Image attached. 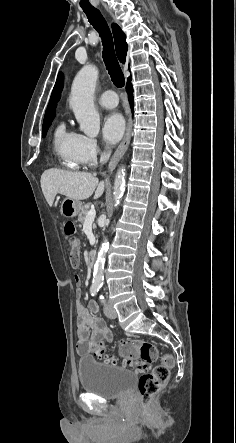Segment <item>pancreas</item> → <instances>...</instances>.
Returning a JSON list of instances; mask_svg holds the SVG:
<instances>
[{
  "instance_id": "obj_1",
  "label": "pancreas",
  "mask_w": 236,
  "mask_h": 443,
  "mask_svg": "<svg viewBox=\"0 0 236 443\" xmlns=\"http://www.w3.org/2000/svg\"><path fill=\"white\" fill-rule=\"evenodd\" d=\"M88 212H89V207L88 206L84 207L78 216V221L83 223L86 219V215L88 214ZM93 229H96V224L93 225Z\"/></svg>"
}]
</instances>
